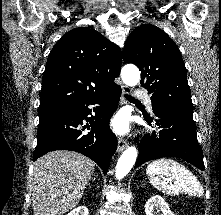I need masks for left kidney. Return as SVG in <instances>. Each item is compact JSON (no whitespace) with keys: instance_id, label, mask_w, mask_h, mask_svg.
Listing matches in <instances>:
<instances>
[{"instance_id":"5707ae66","label":"left kidney","mask_w":221,"mask_h":215,"mask_svg":"<svg viewBox=\"0 0 221 215\" xmlns=\"http://www.w3.org/2000/svg\"><path fill=\"white\" fill-rule=\"evenodd\" d=\"M160 211L162 212V214L157 215H174L173 212L170 210L168 204L161 196H152L145 204L146 215H155Z\"/></svg>"}]
</instances>
